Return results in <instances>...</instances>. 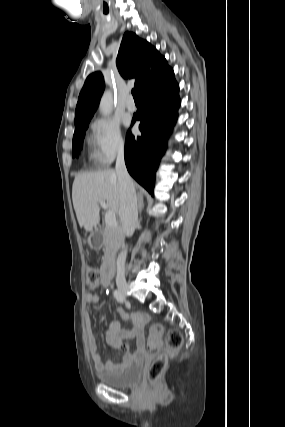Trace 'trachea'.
Returning <instances> with one entry per match:
<instances>
[{
	"mask_svg": "<svg viewBox=\"0 0 285 427\" xmlns=\"http://www.w3.org/2000/svg\"><path fill=\"white\" fill-rule=\"evenodd\" d=\"M132 95H133L134 100H140L137 88L132 89Z\"/></svg>",
	"mask_w": 285,
	"mask_h": 427,
	"instance_id": "3493384b",
	"label": "trachea"
}]
</instances>
